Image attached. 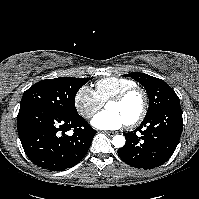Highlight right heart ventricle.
Instances as JSON below:
<instances>
[{
  "mask_svg": "<svg viewBox=\"0 0 199 199\" xmlns=\"http://www.w3.org/2000/svg\"><path fill=\"white\" fill-rule=\"evenodd\" d=\"M132 86H136L134 81L127 78L112 76L97 81L94 91L104 104L118 93Z\"/></svg>",
  "mask_w": 199,
  "mask_h": 199,
  "instance_id": "right-heart-ventricle-1",
  "label": "right heart ventricle"
}]
</instances>
